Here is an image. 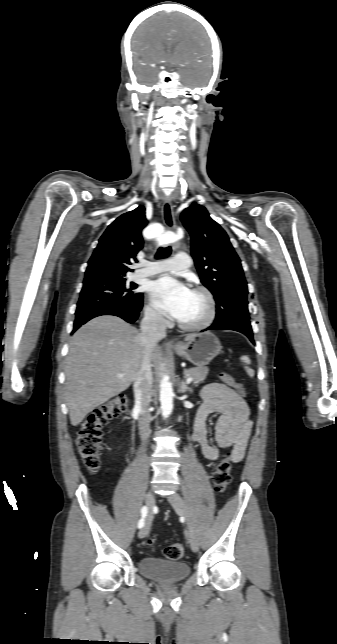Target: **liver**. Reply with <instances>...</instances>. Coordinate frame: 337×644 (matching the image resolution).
I'll return each instance as SVG.
<instances>
[{"mask_svg":"<svg viewBox=\"0 0 337 644\" xmlns=\"http://www.w3.org/2000/svg\"><path fill=\"white\" fill-rule=\"evenodd\" d=\"M194 335H187L190 341ZM146 348L139 331L116 316L96 317L72 336L65 360V398L73 426L135 381ZM124 374V377H117Z\"/></svg>","mask_w":337,"mask_h":644,"instance_id":"6515ba94","label":"liver"}]
</instances>
